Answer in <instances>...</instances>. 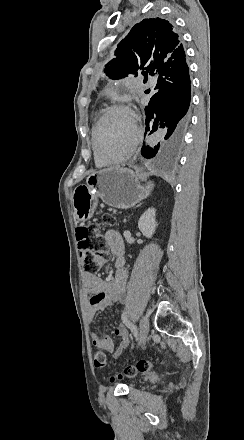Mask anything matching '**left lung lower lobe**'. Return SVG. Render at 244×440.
Here are the masks:
<instances>
[{
	"mask_svg": "<svg viewBox=\"0 0 244 440\" xmlns=\"http://www.w3.org/2000/svg\"><path fill=\"white\" fill-rule=\"evenodd\" d=\"M157 92L152 96L146 113V133L165 128L162 144L146 147L143 156L154 157L158 151L163 155L177 152L183 145L190 124L188 108L191 98L189 69L185 57L178 63L162 66L156 73Z\"/></svg>",
	"mask_w": 244,
	"mask_h": 440,
	"instance_id": "left-lung-lower-lobe-1",
	"label": "left lung lower lobe"
}]
</instances>
